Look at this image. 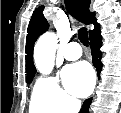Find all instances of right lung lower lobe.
Instances as JSON below:
<instances>
[{
    "instance_id": "obj_1",
    "label": "right lung lower lobe",
    "mask_w": 121,
    "mask_h": 113,
    "mask_svg": "<svg viewBox=\"0 0 121 113\" xmlns=\"http://www.w3.org/2000/svg\"><path fill=\"white\" fill-rule=\"evenodd\" d=\"M101 39H102V37L100 35V30L90 36V47H91V53H92V61H93L94 67L97 70L99 79H100L99 75H100V72L102 70V63H101V56L102 55L100 52ZM91 101H92L91 98L86 99L84 101L80 113H88Z\"/></svg>"
}]
</instances>
